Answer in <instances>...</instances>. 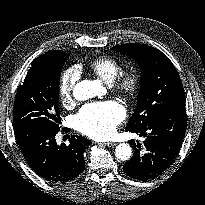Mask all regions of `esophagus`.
<instances>
[{
    "label": "esophagus",
    "instance_id": "34e87169",
    "mask_svg": "<svg viewBox=\"0 0 205 205\" xmlns=\"http://www.w3.org/2000/svg\"><path fill=\"white\" fill-rule=\"evenodd\" d=\"M103 146H107V147H114L116 146L115 142H106V143H102Z\"/></svg>",
    "mask_w": 205,
    "mask_h": 205
}]
</instances>
